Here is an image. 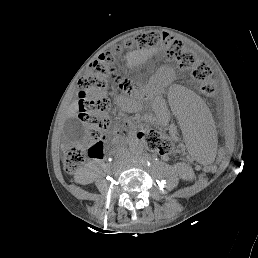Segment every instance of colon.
Returning a JSON list of instances; mask_svg holds the SVG:
<instances>
[{
    "mask_svg": "<svg viewBox=\"0 0 258 258\" xmlns=\"http://www.w3.org/2000/svg\"><path fill=\"white\" fill-rule=\"evenodd\" d=\"M142 49L162 47L168 56L175 60L180 66L190 68L193 78L201 84V91L206 96H212L216 92V86L211 79L209 66L197 59L191 50H184L182 43L176 38L157 32H146L138 35L130 43ZM121 52L120 47H115L102 53L93 61L88 72L80 80L79 103L83 123L89 131L92 139L97 141L95 148L98 156L103 155L108 143L102 139V133L108 129L110 120L106 114L109 108V100L106 89L109 80H116L119 88L129 92L134 83L119 76L115 71L117 55ZM145 145L161 154H170L174 151V143L170 138L157 130H149L142 134ZM84 152L81 148L70 146L64 156L66 171L74 172L84 161Z\"/></svg>",
    "mask_w": 258,
    "mask_h": 258,
    "instance_id": "5ec220e1",
    "label": "colon"
}]
</instances>
